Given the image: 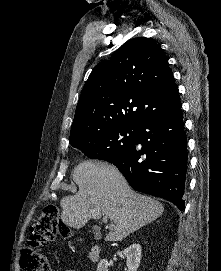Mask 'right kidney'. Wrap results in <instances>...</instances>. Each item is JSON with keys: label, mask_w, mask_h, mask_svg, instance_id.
<instances>
[{"label": "right kidney", "mask_w": 221, "mask_h": 271, "mask_svg": "<svg viewBox=\"0 0 221 271\" xmlns=\"http://www.w3.org/2000/svg\"><path fill=\"white\" fill-rule=\"evenodd\" d=\"M142 247L140 243H132L129 247H125L124 255L126 257L127 271H137L142 257ZM108 259H100L96 271H108Z\"/></svg>", "instance_id": "ca27d5eb"}]
</instances>
